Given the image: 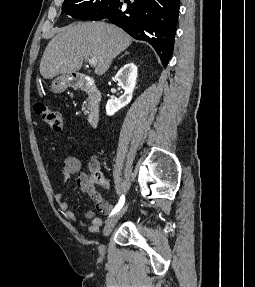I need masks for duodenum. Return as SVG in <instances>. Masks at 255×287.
<instances>
[{
	"mask_svg": "<svg viewBox=\"0 0 255 287\" xmlns=\"http://www.w3.org/2000/svg\"><path fill=\"white\" fill-rule=\"evenodd\" d=\"M70 86L87 94L89 102L87 121L90 126L96 127L100 120L99 103L101 99V93L96 84L87 78H75L70 81Z\"/></svg>",
	"mask_w": 255,
	"mask_h": 287,
	"instance_id": "410a0bca",
	"label": "duodenum"
}]
</instances>
